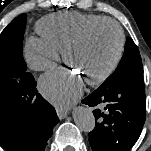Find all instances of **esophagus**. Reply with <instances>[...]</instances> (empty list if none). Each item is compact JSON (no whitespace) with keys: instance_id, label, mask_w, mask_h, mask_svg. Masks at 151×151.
Segmentation results:
<instances>
[{"instance_id":"34e87169","label":"esophagus","mask_w":151,"mask_h":151,"mask_svg":"<svg viewBox=\"0 0 151 151\" xmlns=\"http://www.w3.org/2000/svg\"><path fill=\"white\" fill-rule=\"evenodd\" d=\"M56 112H57V115H58V117L60 119L65 118L69 114V111L67 109H59V108H57Z\"/></svg>"}]
</instances>
